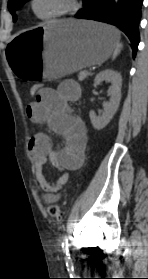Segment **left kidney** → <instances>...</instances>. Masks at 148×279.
<instances>
[{
    "instance_id": "5707ae66",
    "label": "left kidney",
    "mask_w": 148,
    "mask_h": 279,
    "mask_svg": "<svg viewBox=\"0 0 148 279\" xmlns=\"http://www.w3.org/2000/svg\"><path fill=\"white\" fill-rule=\"evenodd\" d=\"M102 81L111 83V87L108 89L110 100L103 104L104 112L101 116H97L93 111L89 113L91 123L96 130H101L108 125L116 113L121 100L122 77L120 73L106 69L97 74L94 80L96 85H100Z\"/></svg>"
}]
</instances>
